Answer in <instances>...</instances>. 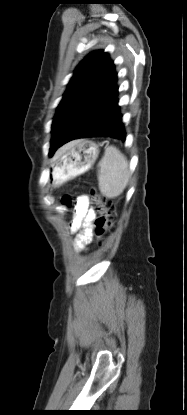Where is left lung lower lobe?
<instances>
[{"label": "left lung lower lobe", "mask_w": 187, "mask_h": 415, "mask_svg": "<svg viewBox=\"0 0 187 415\" xmlns=\"http://www.w3.org/2000/svg\"><path fill=\"white\" fill-rule=\"evenodd\" d=\"M117 96V73L110 60L91 87L84 109L66 130L58 148L78 138L111 137L125 141L126 132ZM88 107L89 114H86ZM53 154L54 152L50 156Z\"/></svg>", "instance_id": "left-lung-lower-lobe-1"}]
</instances>
